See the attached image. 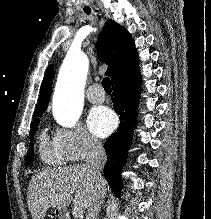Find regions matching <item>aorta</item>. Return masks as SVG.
I'll use <instances>...</instances> for the list:
<instances>
[{
  "instance_id": "762f6f07",
  "label": "aorta",
  "mask_w": 211,
  "mask_h": 219,
  "mask_svg": "<svg viewBox=\"0 0 211 219\" xmlns=\"http://www.w3.org/2000/svg\"><path fill=\"white\" fill-rule=\"evenodd\" d=\"M87 71L85 54L70 51L62 63L54 93V114L65 126H73L82 113Z\"/></svg>"
}]
</instances>
